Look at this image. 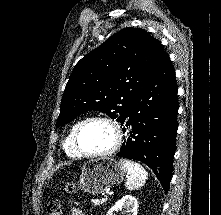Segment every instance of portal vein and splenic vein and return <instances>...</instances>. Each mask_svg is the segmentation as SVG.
Masks as SVG:
<instances>
[{"instance_id":"obj_1","label":"portal vein and splenic vein","mask_w":221,"mask_h":215,"mask_svg":"<svg viewBox=\"0 0 221 215\" xmlns=\"http://www.w3.org/2000/svg\"><path fill=\"white\" fill-rule=\"evenodd\" d=\"M110 195V194H109ZM104 200H107V196H105Z\"/></svg>"}]
</instances>
